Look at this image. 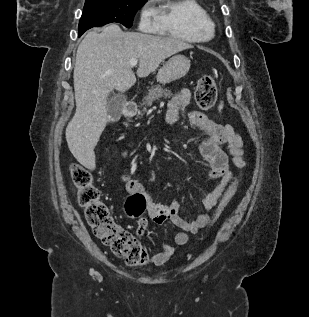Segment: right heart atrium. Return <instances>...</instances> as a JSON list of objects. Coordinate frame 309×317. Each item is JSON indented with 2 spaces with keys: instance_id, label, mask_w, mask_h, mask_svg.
I'll return each mask as SVG.
<instances>
[{
  "instance_id": "obj_1",
  "label": "right heart atrium",
  "mask_w": 309,
  "mask_h": 317,
  "mask_svg": "<svg viewBox=\"0 0 309 317\" xmlns=\"http://www.w3.org/2000/svg\"><path fill=\"white\" fill-rule=\"evenodd\" d=\"M154 18H155V13H154V10L150 7V5L144 6L140 15L141 27L143 28L149 27Z\"/></svg>"
}]
</instances>
